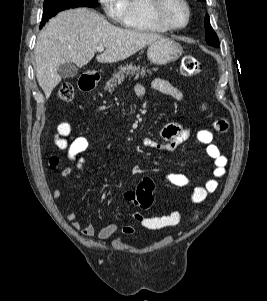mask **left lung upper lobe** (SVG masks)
Segmentation results:
<instances>
[{"label": "left lung upper lobe", "mask_w": 267, "mask_h": 301, "mask_svg": "<svg viewBox=\"0 0 267 301\" xmlns=\"http://www.w3.org/2000/svg\"><path fill=\"white\" fill-rule=\"evenodd\" d=\"M199 2H206V0H198ZM204 26L206 28L205 31V38H206V42L214 47H219V39L216 35V33L214 32L213 28L210 25V18L209 15L206 14L205 19H204Z\"/></svg>", "instance_id": "obj_1"}]
</instances>
